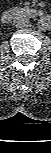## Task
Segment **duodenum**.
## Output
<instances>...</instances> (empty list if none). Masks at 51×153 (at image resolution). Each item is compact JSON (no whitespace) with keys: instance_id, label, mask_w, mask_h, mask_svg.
Listing matches in <instances>:
<instances>
[{"instance_id":"duodenum-1","label":"duodenum","mask_w":51,"mask_h":153,"mask_svg":"<svg viewBox=\"0 0 51 153\" xmlns=\"http://www.w3.org/2000/svg\"><path fill=\"white\" fill-rule=\"evenodd\" d=\"M42 15V11L36 8H19L14 7L5 10L2 13V21L3 22H10L12 19L16 17H28V18H35Z\"/></svg>"}]
</instances>
